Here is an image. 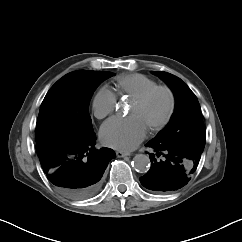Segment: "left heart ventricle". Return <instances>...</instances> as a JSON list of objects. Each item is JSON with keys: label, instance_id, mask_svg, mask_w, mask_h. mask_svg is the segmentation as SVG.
Returning <instances> with one entry per match:
<instances>
[{"label": "left heart ventricle", "instance_id": "b2bd125f", "mask_svg": "<svg viewBox=\"0 0 242 242\" xmlns=\"http://www.w3.org/2000/svg\"><path fill=\"white\" fill-rule=\"evenodd\" d=\"M169 107L170 99L168 94L165 91H158L143 104L132 101L129 106V114L136 117L148 130L166 117Z\"/></svg>", "mask_w": 242, "mask_h": 242}]
</instances>
